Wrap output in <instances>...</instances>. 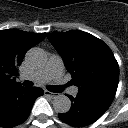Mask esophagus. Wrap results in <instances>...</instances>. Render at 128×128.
<instances>
[{
    "label": "esophagus",
    "instance_id": "esophagus-1",
    "mask_svg": "<svg viewBox=\"0 0 128 128\" xmlns=\"http://www.w3.org/2000/svg\"><path fill=\"white\" fill-rule=\"evenodd\" d=\"M44 94H45V96H48V97H51V98H55L57 96L56 93L50 92L48 90H45Z\"/></svg>",
    "mask_w": 128,
    "mask_h": 128
}]
</instances>
